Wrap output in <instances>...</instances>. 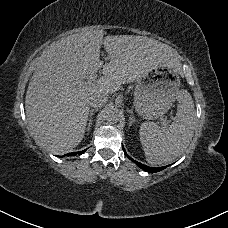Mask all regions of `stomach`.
Returning a JSON list of instances; mask_svg holds the SVG:
<instances>
[{
	"instance_id": "obj_1",
	"label": "stomach",
	"mask_w": 228,
	"mask_h": 228,
	"mask_svg": "<svg viewBox=\"0 0 228 228\" xmlns=\"http://www.w3.org/2000/svg\"><path fill=\"white\" fill-rule=\"evenodd\" d=\"M179 92L180 77L178 72L160 66L137 79L133 107L144 119H160L170 110Z\"/></svg>"
}]
</instances>
